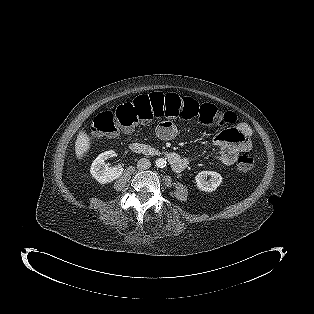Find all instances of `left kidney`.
Here are the masks:
<instances>
[{"mask_svg": "<svg viewBox=\"0 0 314 314\" xmlns=\"http://www.w3.org/2000/svg\"><path fill=\"white\" fill-rule=\"evenodd\" d=\"M207 176H210V180H207ZM195 180L199 190L213 192L221 184L222 177L214 171H201L196 175Z\"/></svg>", "mask_w": 314, "mask_h": 314, "instance_id": "obj_1", "label": "left kidney"}]
</instances>
